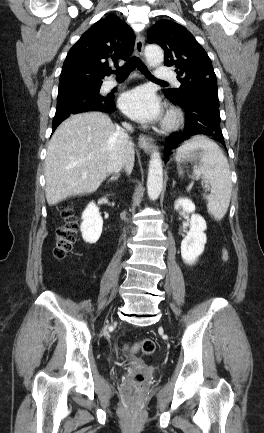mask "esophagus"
<instances>
[{
	"mask_svg": "<svg viewBox=\"0 0 264 433\" xmlns=\"http://www.w3.org/2000/svg\"><path fill=\"white\" fill-rule=\"evenodd\" d=\"M143 50H144V38L139 35L135 41V53L138 57L143 59ZM138 145L145 152H150L152 149V138L146 135H139L138 137Z\"/></svg>",
	"mask_w": 264,
	"mask_h": 433,
	"instance_id": "1",
	"label": "esophagus"
}]
</instances>
